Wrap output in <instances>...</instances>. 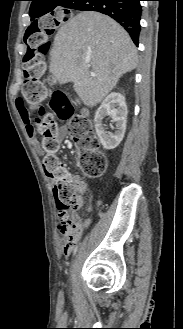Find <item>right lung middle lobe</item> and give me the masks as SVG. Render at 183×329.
Returning <instances> with one entry per match:
<instances>
[{"label": "right lung middle lobe", "instance_id": "right-lung-middle-lobe-1", "mask_svg": "<svg viewBox=\"0 0 183 329\" xmlns=\"http://www.w3.org/2000/svg\"><path fill=\"white\" fill-rule=\"evenodd\" d=\"M53 13H54V10H53ZM47 14V13H46ZM29 34H27V32H26V35H25V37L27 38V36H28Z\"/></svg>", "mask_w": 183, "mask_h": 329}]
</instances>
